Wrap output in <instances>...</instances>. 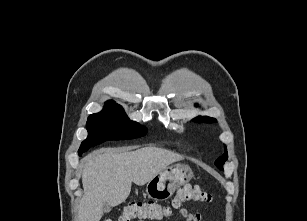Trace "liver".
Segmentation results:
<instances>
[{
    "label": "liver",
    "mask_w": 307,
    "mask_h": 221,
    "mask_svg": "<svg viewBox=\"0 0 307 221\" xmlns=\"http://www.w3.org/2000/svg\"><path fill=\"white\" fill-rule=\"evenodd\" d=\"M183 157L157 147L135 151L97 150L84 158V195L79 221H100L103 205L117 206L130 194L132 182L144 185L159 172Z\"/></svg>",
    "instance_id": "liver-1"
}]
</instances>
